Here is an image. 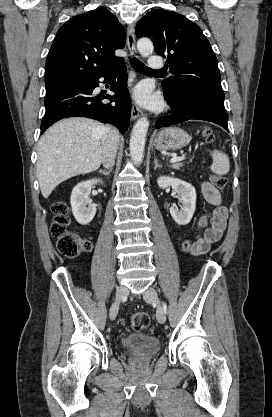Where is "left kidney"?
<instances>
[{"label":"left kidney","instance_id":"left-kidney-1","mask_svg":"<svg viewBox=\"0 0 272 417\" xmlns=\"http://www.w3.org/2000/svg\"><path fill=\"white\" fill-rule=\"evenodd\" d=\"M157 183L161 189L171 186L178 194L182 207L179 210L177 207L172 206L170 208V214L177 224H188L191 221L196 208L195 188L188 182L169 176H160Z\"/></svg>","mask_w":272,"mask_h":417}]
</instances>
